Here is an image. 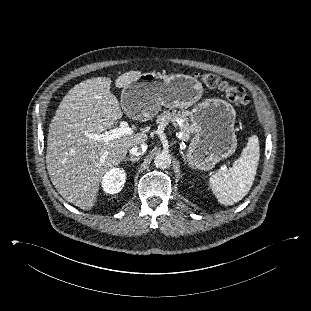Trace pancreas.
Returning <instances> with one entry per match:
<instances>
[{"mask_svg":"<svg viewBox=\"0 0 311 311\" xmlns=\"http://www.w3.org/2000/svg\"><path fill=\"white\" fill-rule=\"evenodd\" d=\"M176 121H180L181 124L178 125ZM173 122L174 125L179 127L181 133V140L188 141L191 135L195 132L193 125L189 124V119L187 118V111L182 112L176 110H166L161 115L157 117L156 123L162 126L168 125Z\"/></svg>","mask_w":311,"mask_h":311,"instance_id":"obj_1","label":"pancreas"}]
</instances>
